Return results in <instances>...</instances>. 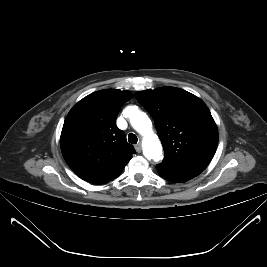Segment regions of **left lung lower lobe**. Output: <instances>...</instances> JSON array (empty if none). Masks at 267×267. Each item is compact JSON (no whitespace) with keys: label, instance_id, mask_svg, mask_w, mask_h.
<instances>
[{"label":"left lung lower lobe","instance_id":"0a47b994","mask_svg":"<svg viewBox=\"0 0 267 267\" xmlns=\"http://www.w3.org/2000/svg\"><path fill=\"white\" fill-rule=\"evenodd\" d=\"M156 168L161 177H163L166 180L176 182V183L185 182L195 177L184 171L177 170V169H174L172 167H168L162 164H158Z\"/></svg>","mask_w":267,"mask_h":267}]
</instances>
